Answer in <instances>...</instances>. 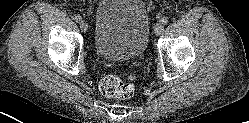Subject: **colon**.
<instances>
[{
    "instance_id": "1",
    "label": "colon",
    "mask_w": 249,
    "mask_h": 123,
    "mask_svg": "<svg viewBox=\"0 0 249 123\" xmlns=\"http://www.w3.org/2000/svg\"><path fill=\"white\" fill-rule=\"evenodd\" d=\"M99 89L103 96L115 100L128 99L134 93L132 84L115 75L104 77L100 82Z\"/></svg>"
}]
</instances>
